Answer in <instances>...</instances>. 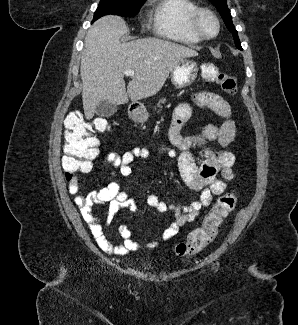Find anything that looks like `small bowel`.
<instances>
[{
	"label": "small bowel",
	"instance_id": "small-bowel-1",
	"mask_svg": "<svg viewBox=\"0 0 298 325\" xmlns=\"http://www.w3.org/2000/svg\"><path fill=\"white\" fill-rule=\"evenodd\" d=\"M193 99L198 106L208 108L223 118V122L219 126L205 125L198 135L184 136L181 129L191 115V107L183 103L175 109L168 132L169 141L174 148L161 147L159 152L171 158H177L182 180L190 189L199 191L200 197L191 204L184 206L160 201L156 194H149L147 197L148 204L159 212L172 211L174 221L160 235L143 246L148 249H154L161 242L171 239L181 227L194 221L200 210L208 206L215 196L221 195L227 184L234 179L235 156L226 149L236 136V125L232 119L230 104L223 97L213 92L196 93ZM213 142L218 143L222 149L217 152L206 150L199 161H196L189 151L195 145ZM149 156V149L135 147L124 153H108L103 158V163L112 166L121 176L129 177L132 175L131 164L136 159H147ZM68 189L74 195V202L88 224L97 245L103 252L125 255L142 247L132 238L131 231L126 226L119 227L122 243L117 245L110 243L102 226L100 215L93 210L95 205L108 204L106 223H110L123 208H127L132 213H137L136 201L122 190L119 181H111L105 187L88 194H79V183L77 179H74L69 182Z\"/></svg>",
	"mask_w": 298,
	"mask_h": 325
}]
</instances>
